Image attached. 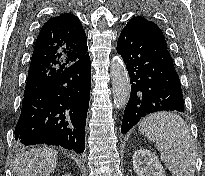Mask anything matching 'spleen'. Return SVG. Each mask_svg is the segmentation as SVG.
<instances>
[{"label": "spleen", "mask_w": 205, "mask_h": 176, "mask_svg": "<svg viewBox=\"0 0 205 176\" xmlns=\"http://www.w3.org/2000/svg\"><path fill=\"white\" fill-rule=\"evenodd\" d=\"M139 131L156 143L172 176H194L196 148L187 123L177 114L159 112L145 117Z\"/></svg>", "instance_id": "1"}]
</instances>
